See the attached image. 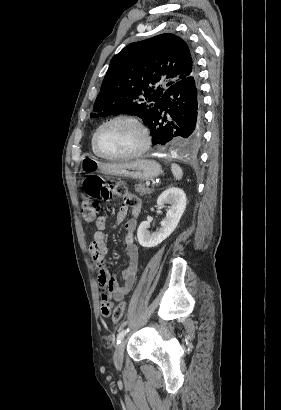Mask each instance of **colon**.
I'll list each match as a JSON object with an SVG mask.
<instances>
[{
	"label": "colon",
	"mask_w": 281,
	"mask_h": 410,
	"mask_svg": "<svg viewBox=\"0 0 281 410\" xmlns=\"http://www.w3.org/2000/svg\"><path fill=\"white\" fill-rule=\"evenodd\" d=\"M113 194L126 195L127 188L124 184L118 183L114 185L113 189H109L105 181L100 176H88L85 178L83 183V194H82V216L83 218L91 222L96 216L98 210L97 200L108 199ZM104 313L108 310L104 308ZM126 312V302L119 303L113 311L112 321L114 324H118L124 317Z\"/></svg>",
	"instance_id": "colon-1"
}]
</instances>
